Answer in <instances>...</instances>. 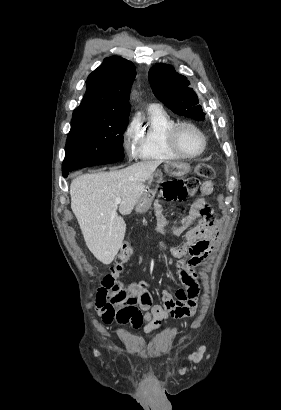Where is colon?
I'll return each mask as SVG.
<instances>
[{
    "mask_svg": "<svg viewBox=\"0 0 281 410\" xmlns=\"http://www.w3.org/2000/svg\"><path fill=\"white\" fill-rule=\"evenodd\" d=\"M197 176L204 179H212L215 175V170L213 167L206 163H201L196 167ZM196 186V182L193 180L182 181V180H172L164 183L162 192L165 200L169 202L183 201L187 198L190 191ZM132 255V246L130 243L126 242L120 248L116 261L118 264H124L129 261ZM197 301H191L185 308L184 312L186 314L190 313L192 309L196 308ZM128 314L134 317L133 323L127 317V314L123 311L109 312L104 315V321L109 323L114 318L121 324L131 323L133 328L137 329L139 326V315L140 313L136 310H129Z\"/></svg>",
    "mask_w": 281,
    "mask_h": 410,
    "instance_id": "1",
    "label": "colon"
}]
</instances>
